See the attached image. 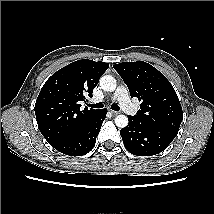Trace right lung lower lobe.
<instances>
[{
  "label": "right lung lower lobe",
  "instance_id": "obj_1",
  "mask_svg": "<svg viewBox=\"0 0 214 214\" xmlns=\"http://www.w3.org/2000/svg\"><path fill=\"white\" fill-rule=\"evenodd\" d=\"M107 114L106 109L99 110L95 115L85 121L65 140L55 145L59 152L69 156H82L92 150L96 137L100 131L103 120Z\"/></svg>",
  "mask_w": 214,
  "mask_h": 214
}]
</instances>
